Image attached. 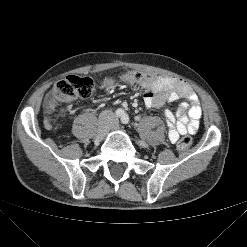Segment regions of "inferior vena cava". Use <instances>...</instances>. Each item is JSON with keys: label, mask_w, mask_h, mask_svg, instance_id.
Wrapping results in <instances>:
<instances>
[{"label": "inferior vena cava", "mask_w": 247, "mask_h": 247, "mask_svg": "<svg viewBox=\"0 0 247 247\" xmlns=\"http://www.w3.org/2000/svg\"><path fill=\"white\" fill-rule=\"evenodd\" d=\"M101 118H108L110 120H115V114L110 110H106L101 113Z\"/></svg>", "instance_id": "obj_1"}]
</instances>
